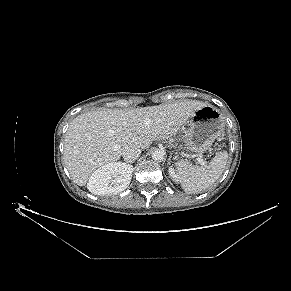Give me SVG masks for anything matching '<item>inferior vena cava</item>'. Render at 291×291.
Here are the masks:
<instances>
[{
    "label": "inferior vena cava",
    "mask_w": 291,
    "mask_h": 291,
    "mask_svg": "<svg viewBox=\"0 0 291 291\" xmlns=\"http://www.w3.org/2000/svg\"><path fill=\"white\" fill-rule=\"evenodd\" d=\"M141 154V149L137 146H126L122 150V156L127 162L135 161Z\"/></svg>",
    "instance_id": "1"
}]
</instances>
